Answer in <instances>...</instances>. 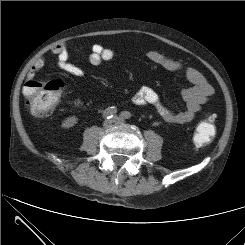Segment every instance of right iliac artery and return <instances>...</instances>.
I'll return each instance as SVG.
<instances>
[{
	"label": "right iliac artery",
	"mask_w": 245,
	"mask_h": 245,
	"mask_svg": "<svg viewBox=\"0 0 245 245\" xmlns=\"http://www.w3.org/2000/svg\"><path fill=\"white\" fill-rule=\"evenodd\" d=\"M117 112V109L115 107H108L103 112V118L110 119L112 118Z\"/></svg>",
	"instance_id": "1"
}]
</instances>
